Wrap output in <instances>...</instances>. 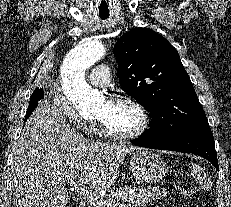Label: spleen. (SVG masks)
I'll use <instances>...</instances> for the list:
<instances>
[{"mask_svg": "<svg viewBox=\"0 0 231 207\" xmlns=\"http://www.w3.org/2000/svg\"><path fill=\"white\" fill-rule=\"evenodd\" d=\"M191 173L197 181H201V167L197 164L193 165Z\"/></svg>", "mask_w": 231, "mask_h": 207, "instance_id": "obj_1", "label": "spleen"}]
</instances>
